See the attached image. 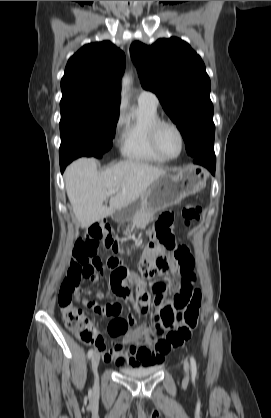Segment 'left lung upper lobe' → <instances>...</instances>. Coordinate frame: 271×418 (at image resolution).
Returning <instances> with one entry per match:
<instances>
[{
	"instance_id": "1",
	"label": "left lung upper lobe",
	"mask_w": 271,
	"mask_h": 418,
	"mask_svg": "<svg viewBox=\"0 0 271 418\" xmlns=\"http://www.w3.org/2000/svg\"><path fill=\"white\" fill-rule=\"evenodd\" d=\"M130 54L143 88L158 96L180 130L188 155L197 158L214 152L211 85L201 57L176 37L149 46L134 42Z\"/></svg>"
}]
</instances>
